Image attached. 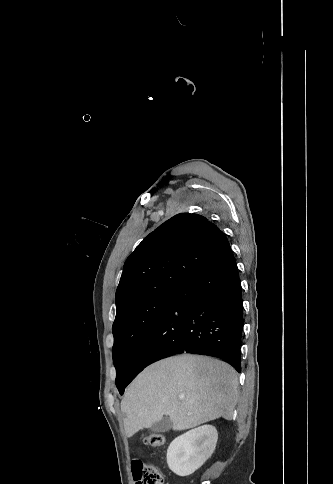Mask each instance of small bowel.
Segmentation results:
<instances>
[{"instance_id": "obj_1", "label": "small bowel", "mask_w": 333, "mask_h": 484, "mask_svg": "<svg viewBox=\"0 0 333 484\" xmlns=\"http://www.w3.org/2000/svg\"><path fill=\"white\" fill-rule=\"evenodd\" d=\"M142 464H143V462L140 459H133L132 460L131 468H132L134 480L136 481L135 483H137V474H138L139 468Z\"/></svg>"}]
</instances>
